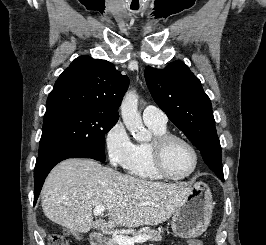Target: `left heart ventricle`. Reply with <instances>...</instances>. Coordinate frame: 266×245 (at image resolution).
I'll list each match as a JSON object with an SVG mask.
<instances>
[{
	"label": "left heart ventricle",
	"mask_w": 266,
	"mask_h": 245,
	"mask_svg": "<svg viewBox=\"0 0 266 245\" xmlns=\"http://www.w3.org/2000/svg\"><path fill=\"white\" fill-rule=\"evenodd\" d=\"M164 166L171 176L184 177L194 166V154L184 142L173 140L164 151Z\"/></svg>",
	"instance_id": "obj_1"
}]
</instances>
